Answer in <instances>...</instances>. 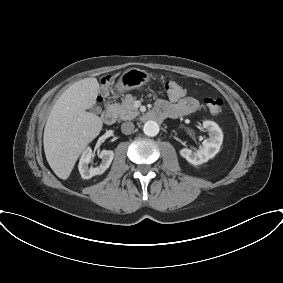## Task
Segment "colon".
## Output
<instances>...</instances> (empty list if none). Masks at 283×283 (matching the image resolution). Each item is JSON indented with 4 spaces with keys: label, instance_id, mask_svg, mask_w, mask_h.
<instances>
[{
    "label": "colon",
    "instance_id": "5ec220e1",
    "mask_svg": "<svg viewBox=\"0 0 283 283\" xmlns=\"http://www.w3.org/2000/svg\"><path fill=\"white\" fill-rule=\"evenodd\" d=\"M110 80L105 79L100 92V99L105 98L109 93ZM164 89L169 97L179 99L185 94V89L175 81L164 82ZM204 106L214 115L220 114L223 110V100L219 97L209 96L204 98Z\"/></svg>",
    "mask_w": 283,
    "mask_h": 283
}]
</instances>
